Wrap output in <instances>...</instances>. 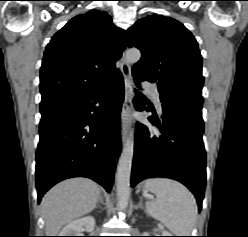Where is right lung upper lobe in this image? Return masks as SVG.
<instances>
[{
    "instance_id": "cb5924a9",
    "label": "right lung upper lobe",
    "mask_w": 248,
    "mask_h": 237,
    "mask_svg": "<svg viewBox=\"0 0 248 237\" xmlns=\"http://www.w3.org/2000/svg\"><path fill=\"white\" fill-rule=\"evenodd\" d=\"M126 35L103 11L72 18L46 46L40 71L41 103L84 94L115 78Z\"/></svg>"
}]
</instances>
